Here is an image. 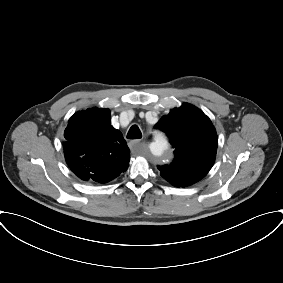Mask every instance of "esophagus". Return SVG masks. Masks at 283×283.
<instances>
[{"mask_svg":"<svg viewBox=\"0 0 283 283\" xmlns=\"http://www.w3.org/2000/svg\"><path fill=\"white\" fill-rule=\"evenodd\" d=\"M141 143V140L139 139V140H132V141H130L129 142V147L130 148H135V147H137L139 144Z\"/></svg>","mask_w":283,"mask_h":283,"instance_id":"1","label":"esophagus"}]
</instances>
